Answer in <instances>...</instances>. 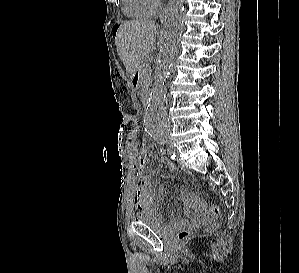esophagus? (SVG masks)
<instances>
[{"label": "esophagus", "instance_id": "obj_1", "mask_svg": "<svg viewBox=\"0 0 299 273\" xmlns=\"http://www.w3.org/2000/svg\"><path fill=\"white\" fill-rule=\"evenodd\" d=\"M174 4H175V0H170L167 7L163 10L161 17H160L161 23H165L167 21L169 15H170V11Z\"/></svg>", "mask_w": 299, "mask_h": 273}]
</instances>
